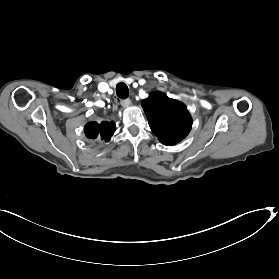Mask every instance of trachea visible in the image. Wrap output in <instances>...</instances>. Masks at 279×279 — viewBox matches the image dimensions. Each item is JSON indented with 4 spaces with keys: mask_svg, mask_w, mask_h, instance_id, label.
<instances>
[{
    "mask_svg": "<svg viewBox=\"0 0 279 279\" xmlns=\"http://www.w3.org/2000/svg\"><path fill=\"white\" fill-rule=\"evenodd\" d=\"M116 94L121 99H126L129 96V89L125 83H118L116 85Z\"/></svg>",
    "mask_w": 279,
    "mask_h": 279,
    "instance_id": "3493384b",
    "label": "trachea"
}]
</instances>
